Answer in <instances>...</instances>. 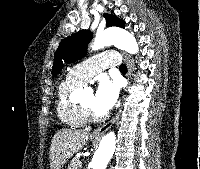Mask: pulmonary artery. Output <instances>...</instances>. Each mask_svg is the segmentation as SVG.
I'll use <instances>...</instances> for the list:
<instances>
[{
	"mask_svg": "<svg viewBox=\"0 0 200 169\" xmlns=\"http://www.w3.org/2000/svg\"><path fill=\"white\" fill-rule=\"evenodd\" d=\"M119 64L120 58L115 51L103 52L76 65L68 73V78L84 84L103 69Z\"/></svg>",
	"mask_w": 200,
	"mask_h": 169,
	"instance_id": "e3ab8cb5",
	"label": "pulmonary artery"
}]
</instances>
